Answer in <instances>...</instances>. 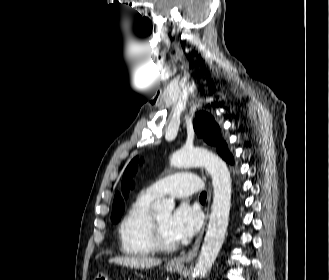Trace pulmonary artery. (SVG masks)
<instances>
[{
  "mask_svg": "<svg viewBox=\"0 0 329 280\" xmlns=\"http://www.w3.org/2000/svg\"><path fill=\"white\" fill-rule=\"evenodd\" d=\"M201 189V182L197 175L191 172H180L157 180L146 191L155 197L164 194L186 197L201 191Z\"/></svg>",
  "mask_w": 329,
  "mask_h": 280,
  "instance_id": "1",
  "label": "pulmonary artery"
}]
</instances>
